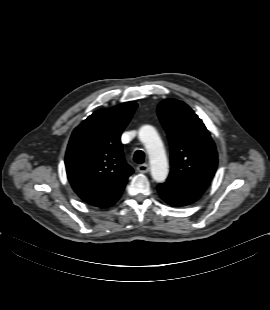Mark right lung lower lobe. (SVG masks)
I'll return each instance as SVG.
<instances>
[{
    "label": "right lung lower lobe",
    "instance_id": "1",
    "mask_svg": "<svg viewBox=\"0 0 270 310\" xmlns=\"http://www.w3.org/2000/svg\"><path fill=\"white\" fill-rule=\"evenodd\" d=\"M123 189L118 191L117 193H115L111 197L107 198L106 200H104L103 202H101L100 204H97L95 206L101 207V208H107V207L112 206L120 198V196L123 192Z\"/></svg>",
    "mask_w": 270,
    "mask_h": 310
}]
</instances>
